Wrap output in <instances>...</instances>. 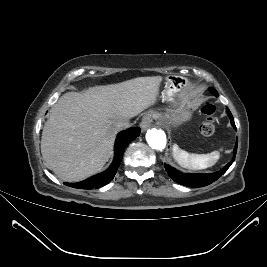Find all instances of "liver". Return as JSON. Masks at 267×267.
I'll return each mask as SVG.
<instances>
[{
    "label": "liver",
    "mask_w": 267,
    "mask_h": 267,
    "mask_svg": "<svg viewBox=\"0 0 267 267\" xmlns=\"http://www.w3.org/2000/svg\"><path fill=\"white\" fill-rule=\"evenodd\" d=\"M161 76L138 77L68 92L50 109L41 139L47 168L61 180L80 181L101 170L111 154L114 124L154 105Z\"/></svg>",
    "instance_id": "6515ba94"
}]
</instances>
